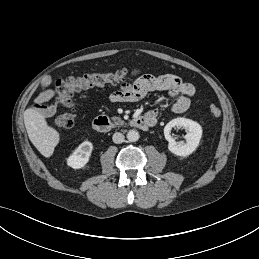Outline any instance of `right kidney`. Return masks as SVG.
Instances as JSON below:
<instances>
[{
    "instance_id": "right-kidney-1",
    "label": "right kidney",
    "mask_w": 259,
    "mask_h": 259,
    "mask_svg": "<svg viewBox=\"0 0 259 259\" xmlns=\"http://www.w3.org/2000/svg\"><path fill=\"white\" fill-rule=\"evenodd\" d=\"M92 150L93 145L90 141L82 142L68 157L67 165L73 169L83 168L88 163Z\"/></svg>"
}]
</instances>
